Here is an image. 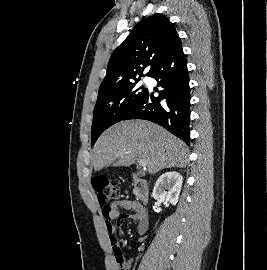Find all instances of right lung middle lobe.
<instances>
[{"label": "right lung middle lobe", "instance_id": "right-lung-middle-lobe-1", "mask_svg": "<svg viewBox=\"0 0 267 270\" xmlns=\"http://www.w3.org/2000/svg\"><path fill=\"white\" fill-rule=\"evenodd\" d=\"M139 80L99 91L91 128V146L107 128L122 121L146 95L147 88L136 87Z\"/></svg>", "mask_w": 267, "mask_h": 270}]
</instances>
